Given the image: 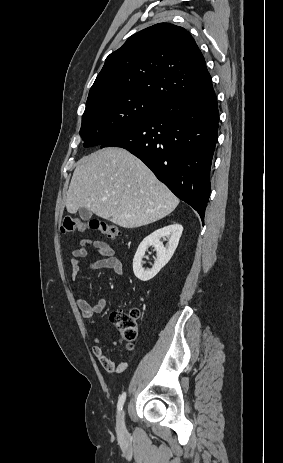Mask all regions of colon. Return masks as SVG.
Segmentation results:
<instances>
[{"instance_id":"5ec220e1","label":"colon","mask_w":283,"mask_h":463,"mask_svg":"<svg viewBox=\"0 0 283 463\" xmlns=\"http://www.w3.org/2000/svg\"><path fill=\"white\" fill-rule=\"evenodd\" d=\"M61 229L65 233L93 230L110 239H116L121 235L117 226L97 218L81 219L73 216H66L63 220ZM139 317L140 311L138 308H130L127 311H115L111 314V319L117 327L121 340L128 346H131L138 337Z\"/></svg>"}]
</instances>
